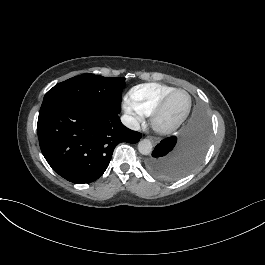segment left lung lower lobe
Listing matches in <instances>:
<instances>
[{
    "label": "left lung lower lobe",
    "mask_w": 265,
    "mask_h": 265,
    "mask_svg": "<svg viewBox=\"0 0 265 265\" xmlns=\"http://www.w3.org/2000/svg\"><path fill=\"white\" fill-rule=\"evenodd\" d=\"M210 136L204 108L197 105L177 136L163 139L146 161L147 170L163 180H175L194 170L202 161Z\"/></svg>",
    "instance_id": "left-lung-lower-lobe-1"
}]
</instances>
